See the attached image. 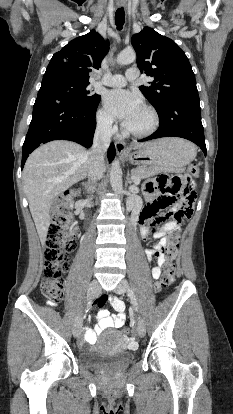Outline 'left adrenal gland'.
<instances>
[{
	"instance_id": "obj_1",
	"label": "left adrenal gland",
	"mask_w": 233,
	"mask_h": 414,
	"mask_svg": "<svg viewBox=\"0 0 233 414\" xmlns=\"http://www.w3.org/2000/svg\"><path fill=\"white\" fill-rule=\"evenodd\" d=\"M127 183L128 184H131L132 182H131V179H130V176H129V173H128V175H127Z\"/></svg>"
}]
</instances>
